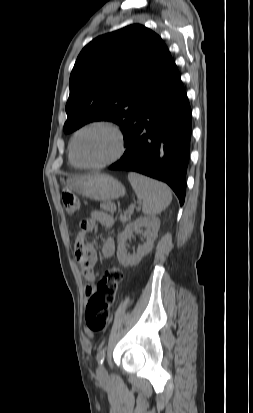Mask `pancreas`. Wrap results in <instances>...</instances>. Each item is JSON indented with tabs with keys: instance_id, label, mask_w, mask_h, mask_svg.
<instances>
[{
	"instance_id": "obj_1",
	"label": "pancreas",
	"mask_w": 253,
	"mask_h": 413,
	"mask_svg": "<svg viewBox=\"0 0 253 413\" xmlns=\"http://www.w3.org/2000/svg\"><path fill=\"white\" fill-rule=\"evenodd\" d=\"M132 213H133V210L131 208H129L126 212H124L123 214L120 215V221L122 223L127 222Z\"/></svg>"
}]
</instances>
